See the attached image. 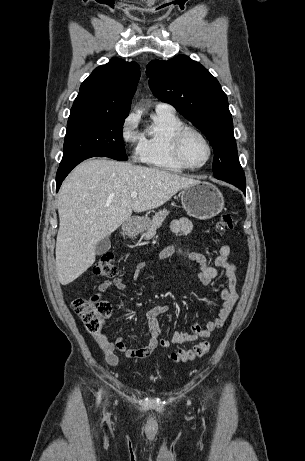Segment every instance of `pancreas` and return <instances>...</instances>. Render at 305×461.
I'll list each match as a JSON object with an SVG mask.
<instances>
[{
  "instance_id": "pancreas-1",
  "label": "pancreas",
  "mask_w": 305,
  "mask_h": 461,
  "mask_svg": "<svg viewBox=\"0 0 305 461\" xmlns=\"http://www.w3.org/2000/svg\"><path fill=\"white\" fill-rule=\"evenodd\" d=\"M168 214L169 211L166 209L160 210L159 212L155 213L153 219L147 227V232L145 233V236L147 238H151L156 234V230L161 227L162 222L165 220Z\"/></svg>"
}]
</instances>
